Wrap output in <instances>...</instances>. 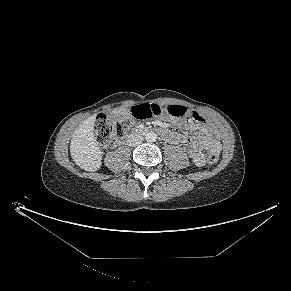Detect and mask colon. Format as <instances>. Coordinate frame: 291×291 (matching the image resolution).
<instances>
[{"instance_id": "obj_1", "label": "colon", "mask_w": 291, "mask_h": 291, "mask_svg": "<svg viewBox=\"0 0 291 291\" xmlns=\"http://www.w3.org/2000/svg\"><path fill=\"white\" fill-rule=\"evenodd\" d=\"M166 111L170 116L179 118H198L196 112L179 105H171L168 107L159 105H139L131 109V114L124 119L109 120L105 115H101L94 125V137L98 143H104L111 139H117L124 136L127 127L136 119H147L156 115H160ZM219 158V150H210L208 153V162L215 163Z\"/></svg>"}]
</instances>
